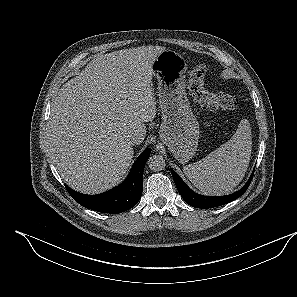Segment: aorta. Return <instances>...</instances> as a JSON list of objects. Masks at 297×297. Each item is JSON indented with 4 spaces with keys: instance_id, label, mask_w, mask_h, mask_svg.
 <instances>
[{
    "instance_id": "762f6f07",
    "label": "aorta",
    "mask_w": 297,
    "mask_h": 297,
    "mask_svg": "<svg viewBox=\"0 0 297 297\" xmlns=\"http://www.w3.org/2000/svg\"><path fill=\"white\" fill-rule=\"evenodd\" d=\"M147 163H148L150 170L155 171V172L163 170L166 166L165 159L162 155H152L148 159Z\"/></svg>"
}]
</instances>
